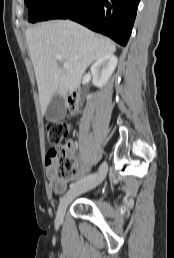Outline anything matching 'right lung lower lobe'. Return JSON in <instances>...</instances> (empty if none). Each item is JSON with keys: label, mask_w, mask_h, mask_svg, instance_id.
Segmentation results:
<instances>
[{"label": "right lung lower lobe", "mask_w": 174, "mask_h": 258, "mask_svg": "<svg viewBox=\"0 0 174 258\" xmlns=\"http://www.w3.org/2000/svg\"><path fill=\"white\" fill-rule=\"evenodd\" d=\"M140 0H53L41 21L71 19L125 46Z\"/></svg>", "instance_id": "1"}]
</instances>
